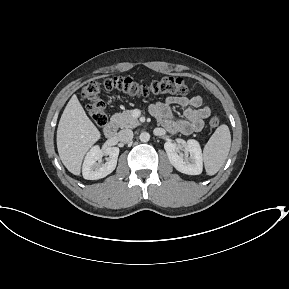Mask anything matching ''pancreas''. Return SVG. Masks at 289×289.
Listing matches in <instances>:
<instances>
[{"label": "pancreas", "mask_w": 289, "mask_h": 289, "mask_svg": "<svg viewBox=\"0 0 289 289\" xmlns=\"http://www.w3.org/2000/svg\"><path fill=\"white\" fill-rule=\"evenodd\" d=\"M111 120L120 128H135L140 125L138 119L132 116L131 110H126L122 113H115Z\"/></svg>", "instance_id": "pancreas-1"}]
</instances>
